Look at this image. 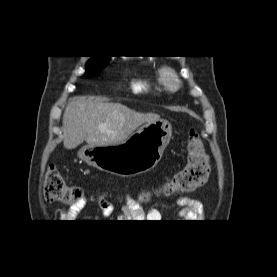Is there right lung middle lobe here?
Listing matches in <instances>:
<instances>
[{
	"label": "right lung middle lobe",
	"mask_w": 277,
	"mask_h": 277,
	"mask_svg": "<svg viewBox=\"0 0 277 277\" xmlns=\"http://www.w3.org/2000/svg\"><path fill=\"white\" fill-rule=\"evenodd\" d=\"M106 65V60L90 59L86 64V75H95L97 71Z\"/></svg>",
	"instance_id": "1"
}]
</instances>
